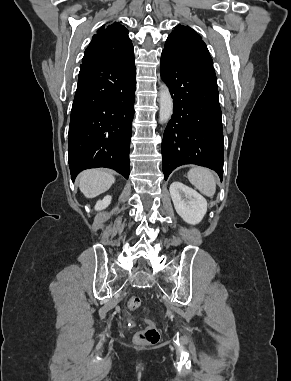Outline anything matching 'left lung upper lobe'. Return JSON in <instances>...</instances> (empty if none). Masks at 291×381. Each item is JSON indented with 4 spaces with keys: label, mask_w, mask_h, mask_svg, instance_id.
<instances>
[{
    "label": "left lung upper lobe",
    "mask_w": 291,
    "mask_h": 381,
    "mask_svg": "<svg viewBox=\"0 0 291 381\" xmlns=\"http://www.w3.org/2000/svg\"><path fill=\"white\" fill-rule=\"evenodd\" d=\"M162 52L200 74L216 77L206 44L187 26L179 24L174 28Z\"/></svg>",
    "instance_id": "left-lung-upper-lobe-1"
}]
</instances>
